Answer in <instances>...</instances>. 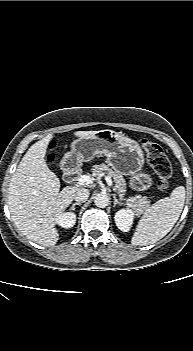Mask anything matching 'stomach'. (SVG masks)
Returning a JSON list of instances; mask_svg holds the SVG:
<instances>
[{
	"label": "stomach",
	"mask_w": 193,
	"mask_h": 351,
	"mask_svg": "<svg viewBox=\"0 0 193 351\" xmlns=\"http://www.w3.org/2000/svg\"><path fill=\"white\" fill-rule=\"evenodd\" d=\"M106 156V163L116 172L130 176V186L137 191L149 189L153 180L143 171L144 153L137 141L112 130L98 131L91 138L74 140L71 151L67 152L62 163L79 166L91 161L96 155Z\"/></svg>",
	"instance_id": "obj_1"
}]
</instances>
